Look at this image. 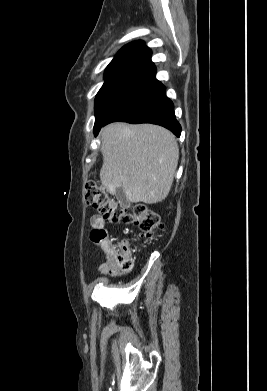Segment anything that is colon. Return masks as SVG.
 Masks as SVG:
<instances>
[{"label": "colon", "mask_w": 267, "mask_h": 391, "mask_svg": "<svg viewBox=\"0 0 267 391\" xmlns=\"http://www.w3.org/2000/svg\"><path fill=\"white\" fill-rule=\"evenodd\" d=\"M84 200L108 222L132 223L147 239L157 237L162 230L160 216L154 210L144 204H136L129 208L120 200L111 197L99 182L90 181L86 184ZM91 239L95 243H102L107 239V232L104 229H95L91 233ZM112 259L120 269L124 271L131 269L132 256L126 241L114 247Z\"/></svg>", "instance_id": "colon-1"}]
</instances>
